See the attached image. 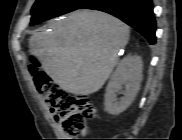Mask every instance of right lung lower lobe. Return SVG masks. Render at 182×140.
<instances>
[{"mask_svg": "<svg viewBox=\"0 0 182 140\" xmlns=\"http://www.w3.org/2000/svg\"><path fill=\"white\" fill-rule=\"evenodd\" d=\"M79 9L99 10L114 15L155 44L156 21L152 0H89Z\"/></svg>", "mask_w": 182, "mask_h": 140, "instance_id": "98d812e1", "label": "right lung lower lobe"}]
</instances>
